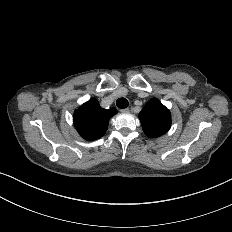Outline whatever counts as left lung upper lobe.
Segmentation results:
<instances>
[{"instance_id": "left-lung-upper-lobe-1", "label": "left lung upper lobe", "mask_w": 232, "mask_h": 232, "mask_svg": "<svg viewBox=\"0 0 232 232\" xmlns=\"http://www.w3.org/2000/svg\"><path fill=\"white\" fill-rule=\"evenodd\" d=\"M144 133L149 138L165 134L171 127L170 111L156 98L150 100L139 113Z\"/></svg>"}]
</instances>
